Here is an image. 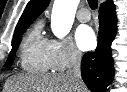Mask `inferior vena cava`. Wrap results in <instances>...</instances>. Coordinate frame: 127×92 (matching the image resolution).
Instances as JSON below:
<instances>
[{
  "label": "inferior vena cava",
  "instance_id": "1",
  "mask_svg": "<svg viewBox=\"0 0 127 92\" xmlns=\"http://www.w3.org/2000/svg\"><path fill=\"white\" fill-rule=\"evenodd\" d=\"M66 76L77 87L81 82V53L72 48L69 55V63L67 65Z\"/></svg>",
  "mask_w": 127,
  "mask_h": 92
}]
</instances>
